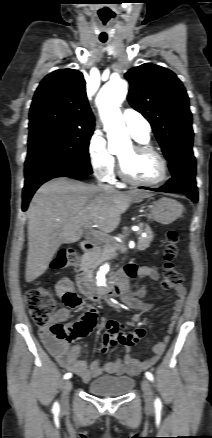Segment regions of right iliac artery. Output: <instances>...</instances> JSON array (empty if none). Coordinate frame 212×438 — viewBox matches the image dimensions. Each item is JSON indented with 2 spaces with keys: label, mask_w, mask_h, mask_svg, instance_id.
Here are the masks:
<instances>
[{
  "label": "right iliac artery",
  "mask_w": 212,
  "mask_h": 438,
  "mask_svg": "<svg viewBox=\"0 0 212 438\" xmlns=\"http://www.w3.org/2000/svg\"><path fill=\"white\" fill-rule=\"evenodd\" d=\"M71 377H72V374H71V373H66V374L64 375V379H69V378H71ZM53 411H54V412H58V411H59V405H58L57 402L54 403Z\"/></svg>",
  "instance_id": "obj_1"
}]
</instances>
